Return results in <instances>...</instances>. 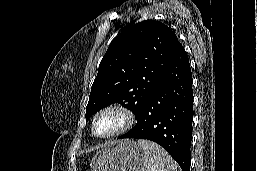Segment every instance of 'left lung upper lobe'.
<instances>
[{"mask_svg":"<svg viewBox=\"0 0 257 171\" xmlns=\"http://www.w3.org/2000/svg\"><path fill=\"white\" fill-rule=\"evenodd\" d=\"M182 47L176 34L163 23L146 20L128 27L113 39L100 62L86 119L117 102L138 118Z\"/></svg>","mask_w":257,"mask_h":171,"instance_id":"1","label":"left lung upper lobe"}]
</instances>
